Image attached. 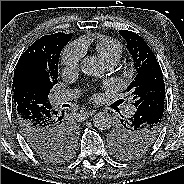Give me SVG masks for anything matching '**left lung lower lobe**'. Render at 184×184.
I'll use <instances>...</instances> for the list:
<instances>
[{"mask_svg": "<svg viewBox=\"0 0 184 184\" xmlns=\"http://www.w3.org/2000/svg\"><path fill=\"white\" fill-rule=\"evenodd\" d=\"M164 99L165 95H156L153 99L146 100L137 106L136 113L129 119L131 124L141 127L143 125H151L158 121H162L164 113Z\"/></svg>", "mask_w": 184, "mask_h": 184, "instance_id": "left-lung-lower-lobe-1", "label": "left lung lower lobe"}]
</instances>
